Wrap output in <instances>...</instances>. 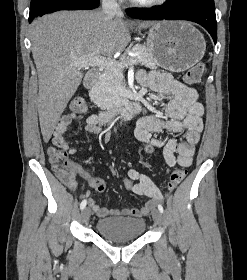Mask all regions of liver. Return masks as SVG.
<instances>
[{
	"instance_id": "obj_1",
	"label": "liver",
	"mask_w": 247,
	"mask_h": 280,
	"mask_svg": "<svg viewBox=\"0 0 247 280\" xmlns=\"http://www.w3.org/2000/svg\"><path fill=\"white\" fill-rule=\"evenodd\" d=\"M154 22L134 24L139 29ZM130 25L121 15L101 10L60 11L36 19L30 28L33 59L38 72L37 99L40 128L48 142L83 78V67L74 65L88 55L111 57L131 41Z\"/></svg>"
}]
</instances>
